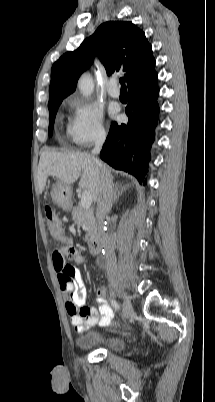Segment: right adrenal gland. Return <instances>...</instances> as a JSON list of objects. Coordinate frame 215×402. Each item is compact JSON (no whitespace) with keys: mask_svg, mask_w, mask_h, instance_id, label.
I'll return each mask as SVG.
<instances>
[{"mask_svg":"<svg viewBox=\"0 0 215 402\" xmlns=\"http://www.w3.org/2000/svg\"><path fill=\"white\" fill-rule=\"evenodd\" d=\"M127 186H122V184H114L113 185V200L116 203L119 197L122 195V193L126 190Z\"/></svg>","mask_w":215,"mask_h":402,"instance_id":"2a0ac1e0","label":"right adrenal gland"}]
</instances>
